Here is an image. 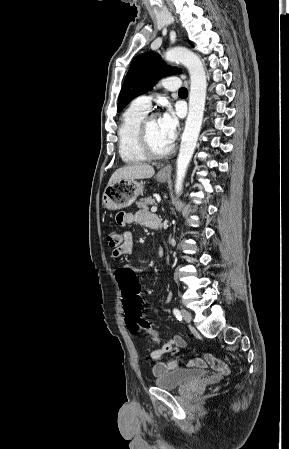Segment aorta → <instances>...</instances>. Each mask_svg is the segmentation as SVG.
<instances>
[{"instance_id": "762f6f07", "label": "aorta", "mask_w": 289, "mask_h": 449, "mask_svg": "<svg viewBox=\"0 0 289 449\" xmlns=\"http://www.w3.org/2000/svg\"><path fill=\"white\" fill-rule=\"evenodd\" d=\"M165 59L166 61L183 64L190 74L189 111L177 158L175 191L179 194L182 191L187 168L193 156L201 130L207 80L205 69L200 58L192 51L182 47L172 48L165 53Z\"/></svg>"}]
</instances>
